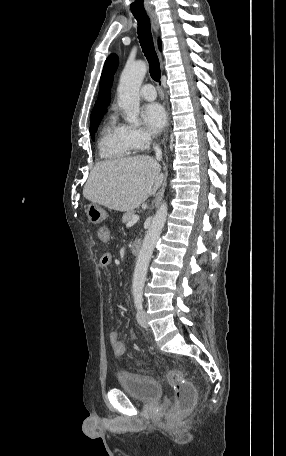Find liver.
I'll return each instance as SVG.
<instances>
[{
    "label": "liver",
    "instance_id": "obj_1",
    "mask_svg": "<svg viewBox=\"0 0 286 456\" xmlns=\"http://www.w3.org/2000/svg\"><path fill=\"white\" fill-rule=\"evenodd\" d=\"M161 166L148 155L97 162L83 188L84 197L116 211L138 208L160 187Z\"/></svg>",
    "mask_w": 286,
    "mask_h": 456
}]
</instances>
